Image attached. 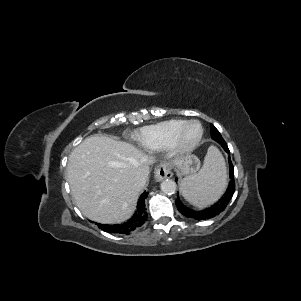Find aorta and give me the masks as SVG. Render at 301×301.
Masks as SVG:
<instances>
[{"instance_id":"aorta-1","label":"aorta","mask_w":301,"mask_h":301,"mask_svg":"<svg viewBox=\"0 0 301 301\" xmlns=\"http://www.w3.org/2000/svg\"><path fill=\"white\" fill-rule=\"evenodd\" d=\"M177 185L172 179H166L161 183V191L165 194L171 195L176 192Z\"/></svg>"}]
</instances>
